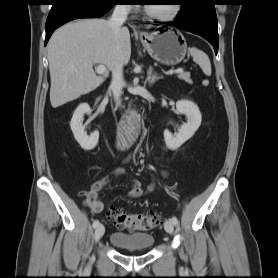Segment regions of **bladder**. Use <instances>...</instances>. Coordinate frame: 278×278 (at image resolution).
<instances>
[{"label":"bladder","mask_w":278,"mask_h":278,"mask_svg":"<svg viewBox=\"0 0 278 278\" xmlns=\"http://www.w3.org/2000/svg\"><path fill=\"white\" fill-rule=\"evenodd\" d=\"M154 242V236L146 232L117 231L110 235L111 245L125 250H147L154 245Z\"/></svg>","instance_id":"1"}]
</instances>
